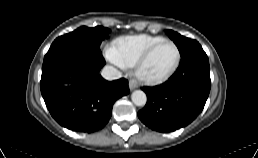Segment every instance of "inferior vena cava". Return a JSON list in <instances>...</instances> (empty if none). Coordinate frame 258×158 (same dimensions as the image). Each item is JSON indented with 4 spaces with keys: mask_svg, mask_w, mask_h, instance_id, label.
Segmentation results:
<instances>
[{
    "mask_svg": "<svg viewBox=\"0 0 258 158\" xmlns=\"http://www.w3.org/2000/svg\"><path fill=\"white\" fill-rule=\"evenodd\" d=\"M101 75L104 79L106 80H116L122 77L121 72L118 71L116 68H114L113 66H105L102 71H101Z\"/></svg>",
    "mask_w": 258,
    "mask_h": 158,
    "instance_id": "obj_1",
    "label": "inferior vena cava"
}]
</instances>
